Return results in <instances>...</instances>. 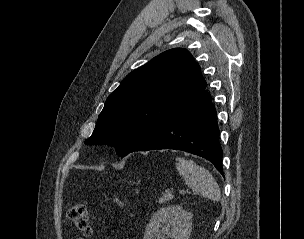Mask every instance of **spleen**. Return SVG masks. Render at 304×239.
Segmentation results:
<instances>
[{"mask_svg":"<svg viewBox=\"0 0 304 239\" xmlns=\"http://www.w3.org/2000/svg\"><path fill=\"white\" fill-rule=\"evenodd\" d=\"M176 161V168L179 174L194 194L201 195L214 202L220 200V188L213 176L205 168L197 165L192 160L184 158H176Z\"/></svg>","mask_w":304,"mask_h":239,"instance_id":"spleen-1","label":"spleen"}]
</instances>
